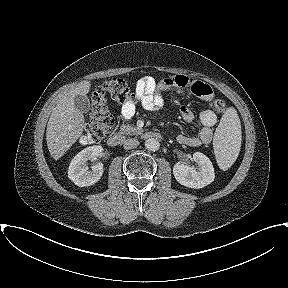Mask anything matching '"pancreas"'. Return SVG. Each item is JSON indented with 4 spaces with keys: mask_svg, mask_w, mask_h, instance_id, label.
<instances>
[{
    "mask_svg": "<svg viewBox=\"0 0 288 288\" xmlns=\"http://www.w3.org/2000/svg\"><path fill=\"white\" fill-rule=\"evenodd\" d=\"M142 129L139 127H136L135 125H122L120 127V133L121 134H130V135H135L141 132Z\"/></svg>",
    "mask_w": 288,
    "mask_h": 288,
    "instance_id": "1",
    "label": "pancreas"
}]
</instances>
